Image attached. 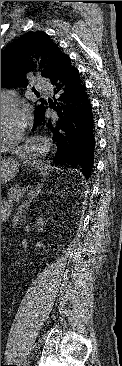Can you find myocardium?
I'll return each mask as SVG.
<instances>
[{"label":"myocardium","mask_w":122,"mask_h":366,"mask_svg":"<svg viewBox=\"0 0 122 366\" xmlns=\"http://www.w3.org/2000/svg\"><path fill=\"white\" fill-rule=\"evenodd\" d=\"M24 117L21 110L11 103L9 100L1 98V126H7L10 121V131L6 136H1V145L6 146L12 143V139L15 134H19L22 131V123Z\"/></svg>","instance_id":"obj_1"}]
</instances>
